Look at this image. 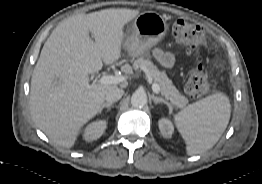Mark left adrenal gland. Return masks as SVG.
Returning a JSON list of instances; mask_svg holds the SVG:
<instances>
[{"instance_id":"obj_1","label":"left adrenal gland","mask_w":262,"mask_h":184,"mask_svg":"<svg viewBox=\"0 0 262 184\" xmlns=\"http://www.w3.org/2000/svg\"><path fill=\"white\" fill-rule=\"evenodd\" d=\"M151 98L153 99L155 104L158 103H164L166 104L168 107H171L170 103H168L165 99L161 98V97H157L154 94L151 95Z\"/></svg>"}]
</instances>
